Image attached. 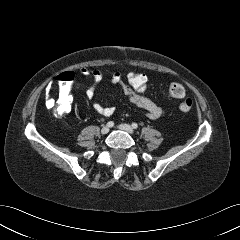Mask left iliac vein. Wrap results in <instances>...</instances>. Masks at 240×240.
<instances>
[{"label": "left iliac vein", "mask_w": 240, "mask_h": 240, "mask_svg": "<svg viewBox=\"0 0 240 240\" xmlns=\"http://www.w3.org/2000/svg\"><path fill=\"white\" fill-rule=\"evenodd\" d=\"M118 128L123 130V131H126L129 134H133L134 133L133 128L130 125H128V124H121V125L118 126Z\"/></svg>", "instance_id": "left-iliac-vein-1"}]
</instances>
